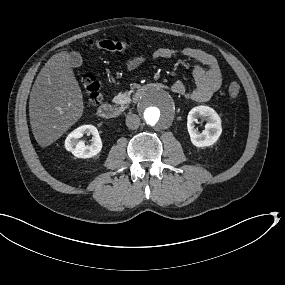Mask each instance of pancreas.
I'll return each instance as SVG.
<instances>
[{
    "label": "pancreas",
    "mask_w": 285,
    "mask_h": 285,
    "mask_svg": "<svg viewBox=\"0 0 285 285\" xmlns=\"http://www.w3.org/2000/svg\"><path fill=\"white\" fill-rule=\"evenodd\" d=\"M133 98L132 92H119L116 94V98L114 99V104L120 106L118 110H125L128 108L129 101Z\"/></svg>",
    "instance_id": "pancreas-1"
}]
</instances>
